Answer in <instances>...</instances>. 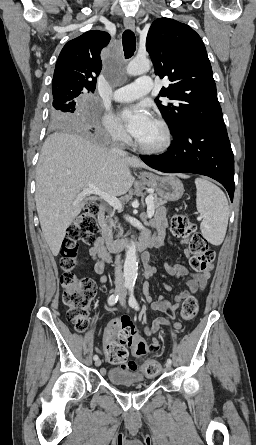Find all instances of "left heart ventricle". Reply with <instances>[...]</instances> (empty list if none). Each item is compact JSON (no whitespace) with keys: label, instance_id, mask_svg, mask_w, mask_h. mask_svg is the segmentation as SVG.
Returning a JSON list of instances; mask_svg holds the SVG:
<instances>
[{"label":"left heart ventricle","instance_id":"b2bd125f","mask_svg":"<svg viewBox=\"0 0 256 445\" xmlns=\"http://www.w3.org/2000/svg\"><path fill=\"white\" fill-rule=\"evenodd\" d=\"M136 140L146 146H155L162 142L163 133L161 128L153 121L149 128Z\"/></svg>","mask_w":256,"mask_h":445}]
</instances>
